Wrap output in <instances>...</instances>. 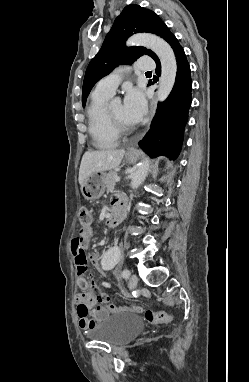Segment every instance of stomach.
Returning <instances> with one entry per match:
<instances>
[{
  "instance_id": "1",
  "label": "stomach",
  "mask_w": 249,
  "mask_h": 382,
  "mask_svg": "<svg viewBox=\"0 0 249 382\" xmlns=\"http://www.w3.org/2000/svg\"><path fill=\"white\" fill-rule=\"evenodd\" d=\"M138 159V155H126L129 163H134ZM105 173L95 172L90 174L81 186V193L86 200H95L101 197L105 191L104 180Z\"/></svg>"
}]
</instances>
